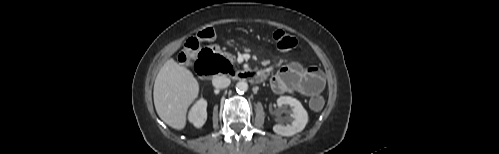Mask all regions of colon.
<instances>
[{"mask_svg":"<svg viewBox=\"0 0 499 154\" xmlns=\"http://www.w3.org/2000/svg\"><path fill=\"white\" fill-rule=\"evenodd\" d=\"M214 36L212 29H204L191 37L185 43L184 49L179 54V60L183 63H189L193 59V52L198 48L199 42L210 39ZM273 40L277 48L283 52H293L297 41L290 34L277 30L273 33ZM215 68L217 71H229L230 63L221 56L215 57ZM324 100L319 95H313L309 100V106L314 111H320L323 108Z\"/></svg>","mask_w":499,"mask_h":154,"instance_id":"obj_1","label":"colon"}]
</instances>
